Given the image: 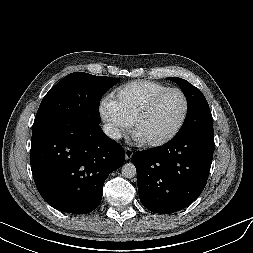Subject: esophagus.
Listing matches in <instances>:
<instances>
[{"label": "esophagus", "mask_w": 253, "mask_h": 253, "mask_svg": "<svg viewBox=\"0 0 253 253\" xmlns=\"http://www.w3.org/2000/svg\"><path fill=\"white\" fill-rule=\"evenodd\" d=\"M133 155V151L129 147H125V159L130 160Z\"/></svg>", "instance_id": "1"}]
</instances>
